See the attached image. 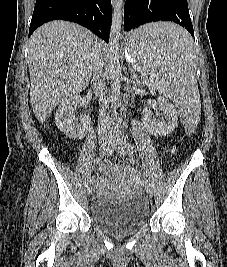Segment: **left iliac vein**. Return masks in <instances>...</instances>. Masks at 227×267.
Listing matches in <instances>:
<instances>
[{"label":"left iliac vein","mask_w":227,"mask_h":267,"mask_svg":"<svg viewBox=\"0 0 227 267\" xmlns=\"http://www.w3.org/2000/svg\"><path fill=\"white\" fill-rule=\"evenodd\" d=\"M110 143H111V146L117 151L118 154L122 156H126L130 158L132 161H134L133 147L125 139L113 138ZM144 187L148 195L152 197L153 186L149 180L147 179L144 180Z\"/></svg>","instance_id":"left-iliac-vein-1"}]
</instances>
